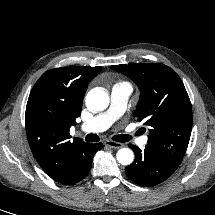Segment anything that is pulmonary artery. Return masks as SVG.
Masks as SVG:
<instances>
[{"mask_svg": "<svg viewBox=\"0 0 215 215\" xmlns=\"http://www.w3.org/2000/svg\"><path fill=\"white\" fill-rule=\"evenodd\" d=\"M132 87L127 83H120L113 86L110 96V107L107 111L95 116L81 125V130L87 133H97L108 129L125 111ZM148 137L144 136L139 140L145 145Z\"/></svg>", "mask_w": 215, "mask_h": 215, "instance_id": "e3ab8cb5", "label": "pulmonary artery"}]
</instances>
